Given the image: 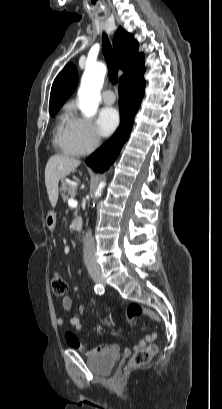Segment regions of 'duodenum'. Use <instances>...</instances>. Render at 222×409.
I'll use <instances>...</instances> for the list:
<instances>
[{"mask_svg": "<svg viewBox=\"0 0 222 409\" xmlns=\"http://www.w3.org/2000/svg\"><path fill=\"white\" fill-rule=\"evenodd\" d=\"M72 224H73V228H74L75 231H80L81 230L82 223H81L80 219H74Z\"/></svg>", "mask_w": 222, "mask_h": 409, "instance_id": "410a0bca", "label": "duodenum"}]
</instances>
